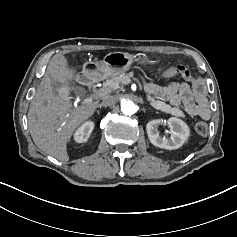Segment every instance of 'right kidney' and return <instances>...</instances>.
Masks as SVG:
<instances>
[{
  "label": "right kidney",
  "instance_id": "right-kidney-1",
  "mask_svg": "<svg viewBox=\"0 0 237 237\" xmlns=\"http://www.w3.org/2000/svg\"><path fill=\"white\" fill-rule=\"evenodd\" d=\"M94 128V123L92 121L85 122L80 126L74 134V140L78 143H84L88 140L92 130Z\"/></svg>",
  "mask_w": 237,
  "mask_h": 237
}]
</instances>
